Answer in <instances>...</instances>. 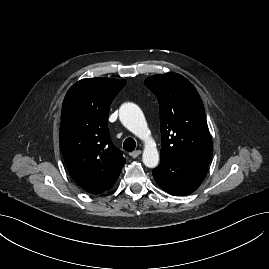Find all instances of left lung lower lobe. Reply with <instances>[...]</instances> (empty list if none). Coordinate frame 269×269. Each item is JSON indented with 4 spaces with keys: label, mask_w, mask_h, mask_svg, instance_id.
Returning <instances> with one entry per match:
<instances>
[{
    "label": "left lung lower lobe",
    "mask_w": 269,
    "mask_h": 269,
    "mask_svg": "<svg viewBox=\"0 0 269 269\" xmlns=\"http://www.w3.org/2000/svg\"><path fill=\"white\" fill-rule=\"evenodd\" d=\"M208 166L172 156L161 155L160 164L153 169L157 184L167 193L184 196L195 191L207 173Z\"/></svg>",
    "instance_id": "1"
}]
</instances>
